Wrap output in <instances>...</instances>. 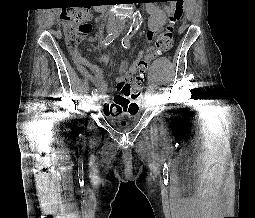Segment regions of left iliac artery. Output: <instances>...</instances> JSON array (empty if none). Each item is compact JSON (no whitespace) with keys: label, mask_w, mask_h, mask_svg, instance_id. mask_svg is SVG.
<instances>
[{"label":"left iliac artery","mask_w":255,"mask_h":218,"mask_svg":"<svg viewBox=\"0 0 255 218\" xmlns=\"http://www.w3.org/2000/svg\"><path fill=\"white\" fill-rule=\"evenodd\" d=\"M134 33H135L134 31H129V32L127 33V35L123 38V40H122V46H123L125 49L130 48V40H131V38L133 37ZM147 93L149 94L150 92L147 91Z\"/></svg>","instance_id":"44dca946"}]
</instances>
